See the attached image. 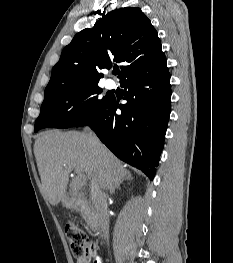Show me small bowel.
<instances>
[{"label":"small bowel","instance_id":"obj_1","mask_svg":"<svg viewBox=\"0 0 233 263\" xmlns=\"http://www.w3.org/2000/svg\"><path fill=\"white\" fill-rule=\"evenodd\" d=\"M96 263H103L102 259L100 257H97Z\"/></svg>","mask_w":233,"mask_h":263}]
</instances>
